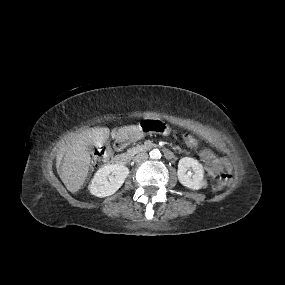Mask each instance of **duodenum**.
Wrapping results in <instances>:
<instances>
[{
	"label": "duodenum",
	"mask_w": 285,
	"mask_h": 285,
	"mask_svg": "<svg viewBox=\"0 0 285 285\" xmlns=\"http://www.w3.org/2000/svg\"><path fill=\"white\" fill-rule=\"evenodd\" d=\"M126 143H127V140L122 139V140H117L115 142V145H116L117 148H120V147L124 146ZM163 153H164V156L167 159H173L174 158L173 151H171L169 149H164ZM133 155H134L133 152L120 153V154L115 156L114 160L118 164L125 165V164H128L130 162V160L132 159Z\"/></svg>",
	"instance_id": "obj_1"
}]
</instances>
